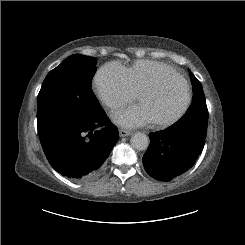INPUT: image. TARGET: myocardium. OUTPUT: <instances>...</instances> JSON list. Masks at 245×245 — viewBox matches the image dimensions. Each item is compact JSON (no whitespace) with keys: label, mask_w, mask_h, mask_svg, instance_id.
<instances>
[{"label":"myocardium","mask_w":245,"mask_h":245,"mask_svg":"<svg viewBox=\"0 0 245 245\" xmlns=\"http://www.w3.org/2000/svg\"><path fill=\"white\" fill-rule=\"evenodd\" d=\"M167 75H174L182 81V83L185 86V90H186V102H185L183 108L173 117L166 119V120L153 122L154 125L160 129L168 128V127L176 124L178 121H180L184 117V115L187 113V111L189 110L191 103H192V90H191V86H190L189 81L179 71H177L174 68L168 69L167 71H164V72L158 74L157 78L155 79V81L153 83H151L147 87L143 88L138 93V99H140L145 94L157 92L160 89V85H159L160 80L163 79Z\"/></svg>","instance_id":"myocardium-1"}]
</instances>
